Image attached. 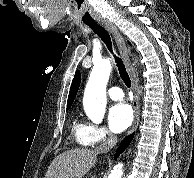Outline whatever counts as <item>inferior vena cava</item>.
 <instances>
[{
    "instance_id": "obj_1",
    "label": "inferior vena cava",
    "mask_w": 194,
    "mask_h": 178,
    "mask_svg": "<svg viewBox=\"0 0 194 178\" xmlns=\"http://www.w3.org/2000/svg\"><path fill=\"white\" fill-rule=\"evenodd\" d=\"M117 136L112 133L108 134V137L99 147H97L96 151L98 153H106L110 151L117 144Z\"/></svg>"
}]
</instances>
